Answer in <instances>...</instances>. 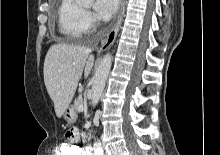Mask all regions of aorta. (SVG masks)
<instances>
[{
	"instance_id": "aorta-1",
	"label": "aorta",
	"mask_w": 220,
	"mask_h": 155,
	"mask_svg": "<svg viewBox=\"0 0 220 155\" xmlns=\"http://www.w3.org/2000/svg\"><path fill=\"white\" fill-rule=\"evenodd\" d=\"M92 1L93 0H84V2H92ZM111 66H112V56L111 54H106L102 58L92 80V105L93 107H95L98 104L99 99L103 93L105 83L109 75Z\"/></svg>"
}]
</instances>
